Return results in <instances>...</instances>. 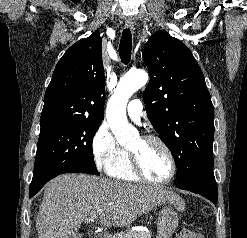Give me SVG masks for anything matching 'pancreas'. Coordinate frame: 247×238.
Here are the masks:
<instances>
[{"mask_svg":"<svg viewBox=\"0 0 247 238\" xmlns=\"http://www.w3.org/2000/svg\"><path fill=\"white\" fill-rule=\"evenodd\" d=\"M110 238V237H104ZM113 238H151L150 235L144 231H126L121 232Z\"/></svg>","mask_w":247,"mask_h":238,"instance_id":"obj_1","label":"pancreas"}]
</instances>
